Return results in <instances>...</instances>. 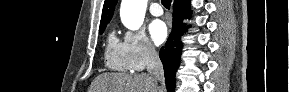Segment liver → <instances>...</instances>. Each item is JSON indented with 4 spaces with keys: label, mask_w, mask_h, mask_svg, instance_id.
I'll list each match as a JSON object with an SVG mask.
<instances>
[{
    "label": "liver",
    "mask_w": 289,
    "mask_h": 92,
    "mask_svg": "<svg viewBox=\"0 0 289 92\" xmlns=\"http://www.w3.org/2000/svg\"><path fill=\"white\" fill-rule=\"evenodd\" d=\"M89 92H164L146 73L128 75L103 73L95 78Z\"/></svg>",
    "instance_id": "6515ba94"
}]
</instances>
